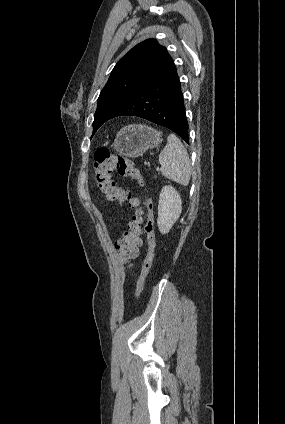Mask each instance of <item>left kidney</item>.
Listing matches in <instances>:
<instances>
[{"mask_svg":"<svg viewBox=\"0 0 285 424\" xmlns=\"http://www.w3.org/2000/svg\"><path fill=\"white\" fill-rule=\"evenodd\" d=\"M182 211V200L176 189L167 185L161 190L157 224L162 234H167L178 220Z\"/></svg>","mask_w":285,"mask_h":424,"instance_id":"5707ae66","label":"left kidney"}]
</instances>
